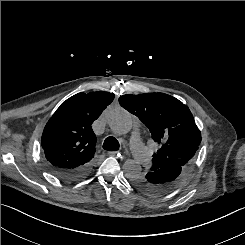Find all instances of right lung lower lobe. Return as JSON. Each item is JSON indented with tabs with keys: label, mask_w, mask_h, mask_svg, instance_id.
Here are the masks:
<instances>
[{
	"label": "right lung lower lobe",
	"mask_w": 245,
	"mask_h": 245,
	"mask_svg": "<svg viewBox=\"0 0 245 245\" xmlns=\"http://www.w3.org/2000/svg\"><path fill=\"white\" fill-rule=\"evenodd\" d=\"M48 168L57 177L65 181L74 182L88 176L91 173L93 166L91 162L87 165L75 169L55 168L50 165H48Z\"/></svg>",
	"instance_id": "obj_1"
}]
</instances>
